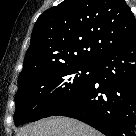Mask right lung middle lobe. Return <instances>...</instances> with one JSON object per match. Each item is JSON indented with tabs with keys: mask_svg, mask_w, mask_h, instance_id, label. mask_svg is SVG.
<instances>
[{
	"mask_svg": "<svg viewBox=\"0 0 136 136\" xmlns=\"http://www.w3.org/2000/svg\"><path fill=\"white\" fill-rule=\"evenodd\" d=\"M93 63H70L36 72L18 83L15 125L50 116L93 78Z\"/></svg>",
	"mask_w": 136,
	"mask_h": 136,
	"instance_id": "obj_1",
	"label": "right lung middle lobe"
}]
</instances>
